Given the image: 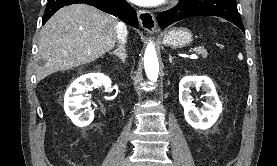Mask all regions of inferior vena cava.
Masks as SVG:
<instances>
[{"label":"inferior vena cava","instance_id":"1","mask_svg":"<svg viewBox=\"0 0 277 166\" xmlns=\"http://www.w3.org/2000/svg\"><path fill=\"white\" fill-rule=\"evenodd\" d=\"M117 39L121 44H125L126 43V37L128 34L127 28L125 26V24L123 22H119L117 25Z\"/></svg>","mask_w":277,"mask_h":166}]
</instances>
